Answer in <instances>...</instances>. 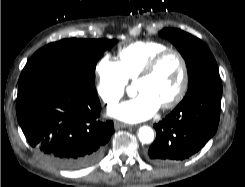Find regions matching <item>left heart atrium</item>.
Returning <instances> with one entry per match:
<instances>
[{
	"instance_id": "39dd6f15",
	"label": "left heart atrium",
	"mask_w": 245,
	"mask_h": 187,
	"mask_svg": "<svg viewBox=\"0 0 245 187\" xmlns=\"http://www.w3.org/2000/svg\"><path fill=\"white\" fill-rule=\"evenodd\" d=\"M160 104L147 92L109 110L110 115L125 122L136 123L152 117Z\"/></svg>"
}]
</instances>
